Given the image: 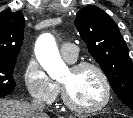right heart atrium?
<instances>
[{
    "mask_svg": "<svg viewBox=\"0 0 133 118\" xmlns=\"http://www.w3.org/2000/svg\"><path fill=\"white\" fill-rule=\"evenodd\" d=\"M24 81L29 94L45 103L53 102L60 92L59 85L34 58L29 59L25 66Z\"/></svg>",
    "mask_w": 133,
    "mask_h": 118,
    "instance_id": "right-heart-atrium-1",
    "label": "right heart atrium"
}]
</instances>
